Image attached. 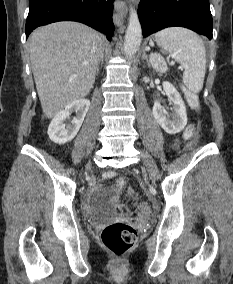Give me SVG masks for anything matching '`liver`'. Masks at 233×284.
<instances>
[{
  "label": "liver",
  "mask_w": 233,
  "mask_h": 284,
  "mask_svg": "<svg viewBox=\"0 0 233 284\" xmlns=\"http://www.w3.org/2000/svg\"><path fill=\"white\" fill-rule=\"evenodd\" d=\"M102 37L71 21L52 23L32 32V72L44 115L51 119L93 87L102 52Z\"/></svg>",
  "instance_id": "1"
}]
</instances>
